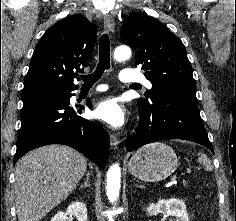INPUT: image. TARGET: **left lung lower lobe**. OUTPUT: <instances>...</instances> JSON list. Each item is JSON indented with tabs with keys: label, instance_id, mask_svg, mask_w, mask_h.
I'll return each instance as SVG.
<instances>
[{
	"label": "left lung lower lobe",
	"instance_id": "left-lung-lower-lobe-1",
	"mask_svg": "<svg viewBox=\"0 0 236 221\" xmlns=\"http://www.w3.org/2000/svg\"><path fill=\"white\" fill-rule=\"evenodd\" d=\"M140 123L126 140L133 151L145 144L164 139H183L197 142L214 153L208 139L194 95L161 93L149 103L138 105Z\"/></svg>",
	"mask_w": 236,
	"mask_h": 221
}]
</instances>
